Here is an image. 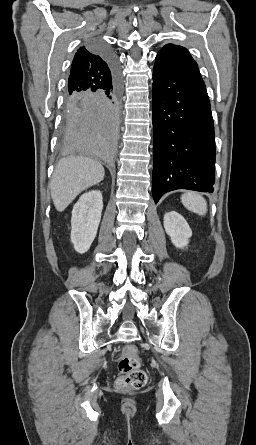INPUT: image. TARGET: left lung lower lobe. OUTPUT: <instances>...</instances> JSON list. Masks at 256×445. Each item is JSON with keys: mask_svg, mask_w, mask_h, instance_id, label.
<instances>
[{"mask_svg": "<svg viewBox=\"0 0 256 445\" xmlns=\"http://www.w3.org/2000/svg\"><path fill=\"white\" fill-rule=\"evenodd\" d=\"M152 119L155 203L176 189L213 192L215 133L204 82L155 64Z\"/></svg>", "mask_w": 256, "mask_h": 445, "instance_id": "1", "label": "left lung lower lobe"}]
</instances>
